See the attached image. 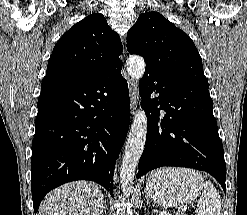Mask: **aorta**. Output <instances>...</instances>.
Segmentation results:
<instances>
[{"instance_id":"762f6f07","label":"aorta","mask_w":247,"mask_h":215,"mask_svg":"<svg viewBox=\"0 0 247 215\" xmlns=\"http://www.w3.org/2000/svg\"><path fill=\"white\" fill-rule=\"evenodd\" d=\"M127 71L131 78L140 80L145 72L144 59L138 55L130 56L127 60ZM146 135L147 118L144 111L139 108L130 127L120 169L121 189L125 196L132 192V183L144 150Z\"/></svg>"}]
</instances>
